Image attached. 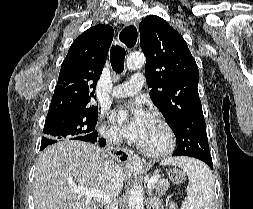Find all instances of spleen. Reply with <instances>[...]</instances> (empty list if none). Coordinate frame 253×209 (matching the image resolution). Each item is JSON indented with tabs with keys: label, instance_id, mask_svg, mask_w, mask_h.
<instances>
[{
	"label": "spleen",
	"instance_id": "spleen-1",
	"mask_svg": "<svg viewBox=\"0 0 253 209\" xmlns=\"http://www.w3.org/2000/svg\"><path fill=\"white\" fill-rule=\"evenodd\" d=\"M163 165H175L183 169L188 176L187 197L181 209H212L213 178L210 169L201 161L187 158H167Z\"/></svg>",
	"mask_w": 253,
	"mask_h": 209
}]
</instances>
